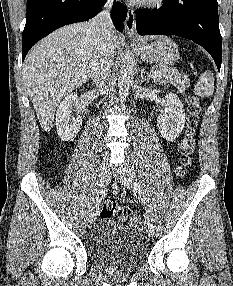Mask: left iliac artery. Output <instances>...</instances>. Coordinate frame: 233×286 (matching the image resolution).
Masks as SVG:
<instances>
[{
	"instance_id": "left-iliac-artery-1",
	"label": "left iliac artery",
	"mask_w": 233,
	"mask_h": 286,
	"mask_svg": "<svg viewBox=\"0 0 233 286\" xmlns=\"http://www.w3.org/2000/svg\"><path fill=\"white\" fill-rule=\"evenodd\" d=\"M131 173H132V178H133V181H134V191H135L136 195L138 196V198L143 203V198H142L143 197V193H142L140 184L137 181V177H136V174H135L133 169H131Z\"/></svg>"
}]
</instances>
